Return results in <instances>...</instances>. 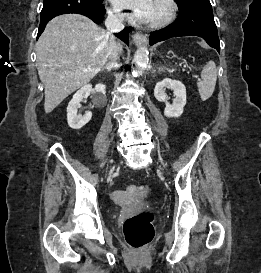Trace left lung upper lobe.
Wrapping results in <instances>:
<instances>
[{
  "mask_svg": "<svg viewBox=\"0 0 261 273\" xmlns=\"http://www.w3.org/2000/svg\"><path fill=\"white\" fill-rule=\"evenodd\" d=\"M175 1L177 2V4H181V3H183V2H185L187 0H175Z\"/></svg>",
  "mask_w": 261,
  "mask_h": 273,
  "instance_id": "1",
  "label": "left lung upper lobe"
}]
</instances>
